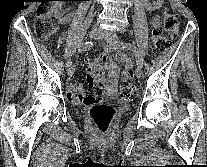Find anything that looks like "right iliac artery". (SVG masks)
Instances as JSON below:
<instances>
[{
	"instance_id": "obj_1",
	"label": "right iliac artery",
	"mask_w": 207,
	"mask_h": 167,
	"mask_svg": "<svg viewBox=\"0 0 207 167\" xmlns=\"http://www.w3.org/2000/svg\"><path fill=\"white\" fill-rule=\"evenodd\" d=\"M93 47V42L88 41L85 42L84 44H82L79 48H78V52H82V51H86L89 50ZM72 65L71 60H68L66 63V67L69 68Z\"/></svg>"
}]
</instances>
